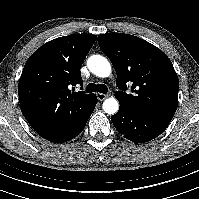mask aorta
Masks as SVG:
<instances>
[{
    "instance_id": "obj_1",
    "label": "aorta",
    "mask_w": 199,
    "mask_h": 199,
    "mask_svg": "<svg viewBox=\"0 0 199 199\" xmlns=\"http://www.w3.org/2000/svg\"><path fill=\"white\" fill-rule=\"evenodd\" d=\"M89 70L96 76L106 78L111 73V65L109 61L101 55H92L87 61ZM103 110L110 115L117 113L119 102L115 98H107L103 102Z\"/></svg>"
}]
</instances>
